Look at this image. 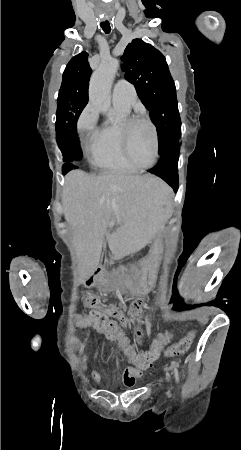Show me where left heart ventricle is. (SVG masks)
I'll list each match as a JSON object with an SVG mask.
<instances>
[{"mask_svg":"<svg viewBox=\"0 0 241 450\" xmlns=\"http://www.w3.org/2000/svg\"><path fill=\"white\" fill-rule=\"evenodd\" d=\"M131 133L128 135V143L124 149L131 156L128 158L130 165H148L151 159V130H156L152 126V121L146 115H139L137 121L131 124Z\"/></svg>","mask_w":241,"mask_h":450,"instance_id":"1","label":"left heart ventricle"}]
</instances>
